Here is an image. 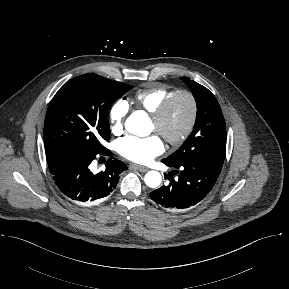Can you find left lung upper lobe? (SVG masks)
Here are the masks:
<instances>
[{
    "mask_svg": "<svg viewBox=\"0 0 289 289\" xmlns=\"http://www.w3.org/2000/svg\"><path fill=\"white\" fill-rule=\"evenodd\" d=\"M197 103V119L191 135L173 154L163 161L172 166L184 163L212 162L223 165L226 150L225 120L215 96L204 86L187 77Z\"/></svg>",
    "mask_w": 289,
    "mask_h": 289,
    "instance_id": "5c2ea615",
    "label": "left lung upper lobe"
}]
</instances>
